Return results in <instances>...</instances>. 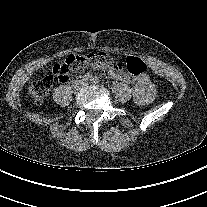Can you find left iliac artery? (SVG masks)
I'll return each mask as SVG.
<instances>
[{
	"label": "left iliac artery",
	"mask_w": 207,
	"mask_h": 207,
	"mask_svg": "<svg viewBox=\"0 0 207 207\" xmlns=\"http://www.w3.org/2000/svg\"><path fill=\"white\" fill-rule=\"evenodd\" d=\"M91 81H92V83L97 84V83L99 82V79H98L96 76H94V77L91 79Z\"/></svg>",
	"instance_id": "obj_1"
}]
</instances>
